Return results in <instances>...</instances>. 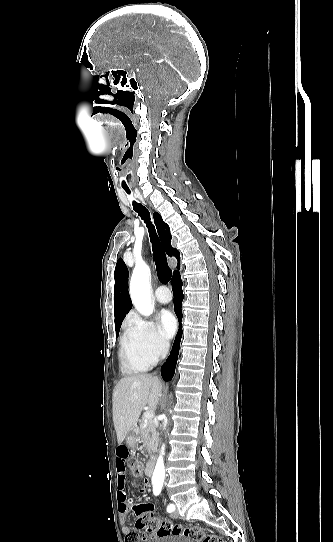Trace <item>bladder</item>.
Masks as SVG:
<instances>
[{"label":"bladder","instance_id":"bladder-1","mask_svg":"<svg viewBox=\"0 0 333 542\" xmlns=\"http://www.w3.org/2000/svg\"><path fill=\"white\" fill-rule=\"evenodd\" d=\"M144 542H198L196 539H191L187 535L181 534H164L153 536Z\"/></svg>","mask_w":333,"mask_h":542}]
</instances>
